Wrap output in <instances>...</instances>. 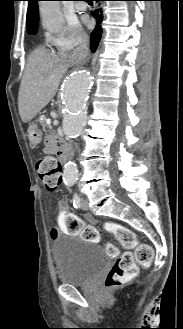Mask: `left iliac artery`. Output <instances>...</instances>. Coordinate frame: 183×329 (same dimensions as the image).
<instances>
[{"instance_id":"44dca946","label":"left iliac artery","mask_w":183,"mask_h":329,"mask_svg":"<svg viewBox=\"0 0 183 329\" xmlns=\"http://www.w3.org/2000/svg\"><path fill=\"white\" fill-rule=\"evenodd\" d=\"M73 206L78 209L81 207V199L77 193L73 195Z\"/></svg>"}]
</instances>
